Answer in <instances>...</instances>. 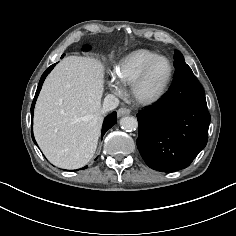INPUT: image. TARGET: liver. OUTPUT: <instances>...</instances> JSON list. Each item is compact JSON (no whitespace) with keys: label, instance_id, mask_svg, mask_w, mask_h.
<instances>
[{"label":"liver","instance_id":"1","mask_svg":"<svg viewBox=\"0 0 236 236\" xmlns=\"http://www.w3.org/2000/svg\"><path fill=\"white\" fill-rule=\"evenodd\" d=\"M103 67L64 58L46 78L34 110V136L55 166L77 169L94 156L102 126Z\"/></svg>","mask_w":236,"mask_h":236}]
</instances>
